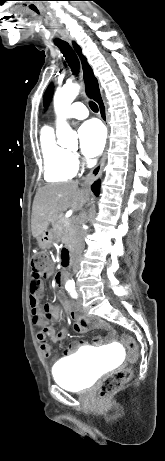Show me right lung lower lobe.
<instances>
[{"label":"right lung lower lobe","instance_id":"98d812e1","mask_svg":"<svg viewBox=\"0 0 165 461\" xmlns=\"http://www.w3.org/2000/svg\"><path fill=\"white\" fill-rule=\"evenodd\" d=\"M92 188V191L94 192L95 195H98L99 194V188H100V180H97L96 182L93 183V185L91 186Z\"/></svg>","mask_w":165,"mask_h":461}]
</instances>
